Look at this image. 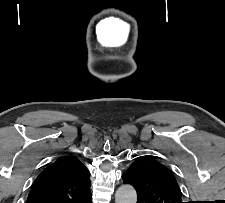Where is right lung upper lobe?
<instances>
[{
	"label": "right lung upper lobe",
	"mask_w": 225,
	"mask_h": 203,
	"mask_svg": "<svg viewBox=\"0 0 225 203\" xmlns=\"http://www.w3.org/2000/svg\"><path fill=\"white\" fill-rule=\"evenodd\" d=\"M91 199L90 173L76 157H61L35 180L27 203H87Z\"/></svg>",
	"instance_id": "cb5924a9"
}]
</instances>
